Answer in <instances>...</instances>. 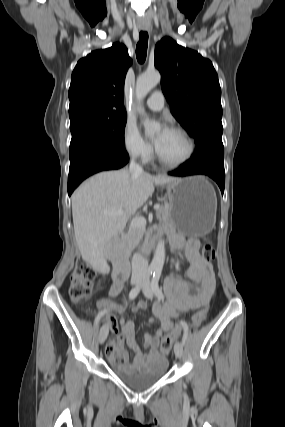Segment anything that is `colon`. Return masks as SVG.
I'll use <instances>...</instances> for the list:
<instances>
[{"label": "colon", "instance_id": "1", "mask_svg": "<svg viewBox=\"0 0 285 427\" xmlns=\"http://www.w3.org/2000/svg\"><path fill=\"white\" fill-rule=\"evenodd\" d=\"M202 256L210 261L215 257L214 247L206 243L202 247ZM96 271L85 261L78 260L70 276L69 296L74 303H80L87 300L92 294L95 286ZM207 308H203L194 313L192 317V326L198 327L205 319ZM185 327V325H184ZM181 334V327H175L166 335L161 343V351L168 353L173 345V341ZM116 359L119 361L120 357Z\"/></svg>", "mask_w": 285, "mask_h": 427}]
</instances>
